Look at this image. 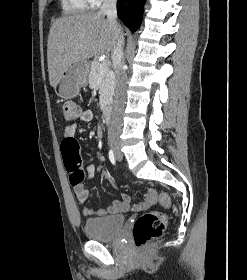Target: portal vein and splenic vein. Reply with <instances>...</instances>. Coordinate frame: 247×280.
I'll return each instance as SVG.
<instances>
[{"label":"portal vein and splenic vein","mask_w":247,"mask_h":280,"mask_svg":"<svg viewBox=\"0 0 247 280\" xmlns=\"http://www.w3.org/2000/svg\"><path fill=\"white\" fill-rule=\"evenodd\" d=\"M109 66H110L109 61L104 60V61H102V62L100 63V70H101V71H104V70L108 69Z\"/></svg>","instance_id":"obj_1"}]
</instances>
